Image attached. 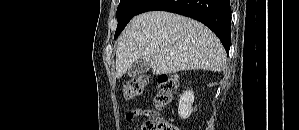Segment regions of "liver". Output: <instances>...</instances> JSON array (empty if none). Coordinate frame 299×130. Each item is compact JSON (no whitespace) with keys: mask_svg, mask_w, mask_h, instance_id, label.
Returning <instances> with one entry per match:
<instances>
[{"mask_svg":"<svg viewBox=\"0 0 299 130\" xmlns=\"http://www.w3.org/2000/svg\"><path fill=\"white\" fill-rule=\"evenodd\" d=\"M137 60L147 61L154 75L183 70L225 69L227 56L217 36L202 23L165 11L135 16L119 37L116 77Z\"/></svg>","mask_w":299,"mask_h":130,"instance_id":"6515ba94","label":"liver"}]
</instances>
